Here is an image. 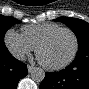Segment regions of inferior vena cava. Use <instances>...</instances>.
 <instances>
[{"label":"inferior vena cava","mask_w":89,"mask_h":89,"mask_svg":"<svg viewBox=\"0 0 89 89\" xmlns=\"http://www.w3.org/2000/svg\"><path fill=\"white\" fill-rule=\"evenodd\" d=\"M17 58H18L19 60H21V61H24V60H25V56H24L23 54H19V55L17 56Z\"/></svg>","instance_id":"602c4592"}]
</instances>
